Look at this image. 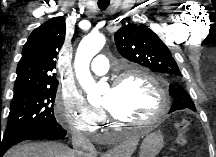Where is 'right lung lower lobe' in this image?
Instances as JSON below:
<instances>
[{
  "label": "right lung lower lobe",
  "mask_w": 216,
  "mask_h": 157,
  "mask_svg": "<svg viewBox=\"0 0 216 157\" xmlns=\"http://www.w3.org/2000/svg\"><path fill=\"white\" fill-rule=\"evenodd\" d=\"M67 134L61 125L50 126V127H39L31 129L29 131L14 135L10 138L2 140L0 142V157H3L5 152L13 145L25 141L35 139H49L58 140L63 138Z\"/></svg>",
  "instance_id": "obj_1"
}]
</instances>
